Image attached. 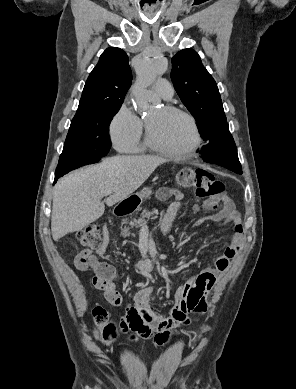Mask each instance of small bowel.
I'll list each match as a JSON object with an SVG mask.
<instances>
[{
    "instance_id": "obj_1",
    "label": "small bowel",
    "mask_w": 296,
    "mask_h": 389,
    "mask_svg": "<svg viewBox=\"0 0 296 389\" xmlns=\"http://www.w3.org/2000/svg\"><path fill=\"white\" fill-rule=\"evenodd\" d=\"M156 196L160 200L173 197L172 203L163 222L164 232H169L176 216L183 208V195L180 191L171 188H160ZM204 208L215 209L203 204ZM199 206H194L198 209ZM206 219L198 220L201 224ZM208 220L220 222L221 224L233 223V235L230 243L223 247L222 253L216 258L213 267H206L194 278L179 286L173 295V308L167 317L157 315L150 308L151 288L138 290L134 296V304L126 309L121 321L122 330L130 332V339H150L157 346L167 344L176 336L183 326L190 323L188 315L204 313L207 309V296L219 279L228 269L230 260L239 251L243 241V226L239 213L234 204L225 197L220 208L208 218ZM109 244L108 232L103 231V244L92 254L89 250L80 252L75 258V266L81 271L91 269L94 272L92 278L93 286L104 293L106 301L114 307L122 303V296L117 290L115 280L118 278L114 266L99 261L107 252ZM83 258L84 264H79L78 259Z\"/></svg>"
}]
</instances>
